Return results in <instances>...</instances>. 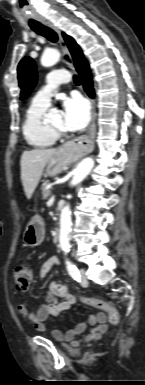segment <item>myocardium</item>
Here are the masks:
<instances>
[{
    "mask_svg": "<svg viewBox=\"0 0 145 385\" xmlns=\"http://www.w3.org/2000/svg\"><path fill=\"white\" fill-rule=\"evenodd\" d=\"M46 126L50 130V132H52L57 138L58 137H64L67 135L66 130L52 126L49 123V121H46Z\"/></svg>",
    "mask_w": 145,
    "mask_h": 385,
    "instance_id": "f54148a6",
    "label": "myocardium"
}]
</instances>
